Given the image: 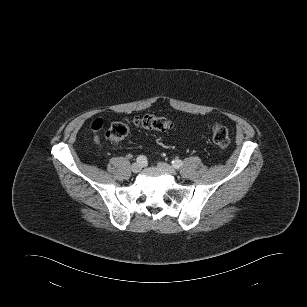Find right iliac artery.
Segmentation results:
<instances>
[{"instance_id":"82829eb1","label":"right iliac artery","mask_w":307,"mask_h":307,"mask_svg":"<svg viewBox=\"0 0 307 307\" xmlns=\"http://www.w3.org/2000/svg\"><path fill=\"white\" fill-rule=\"evenodd\" d=\"M137 162H138L139 164L144 165V164H146L147 159H146V157H145V156L140 155V156H138V157H137Z\"/></svg>"}]
</instances>
